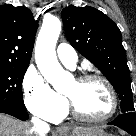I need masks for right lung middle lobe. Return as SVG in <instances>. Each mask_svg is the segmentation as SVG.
<instances>
[{
    "mask_svg": "<svg viewBox=\"0 0 136 136\" xmlns=\"http://www.w3.org/2000/svg\"><path fill=\"white\" fill-rule=\"evenodd\" d=\"M28 66H0V108L26 110L21 86Z\"/></svg>",
    "mask_w": 136,
    "mask_h": 136,
    "instance_id": "obj_1",
    "label": "right lung middle lobe"
}]
</instances>
